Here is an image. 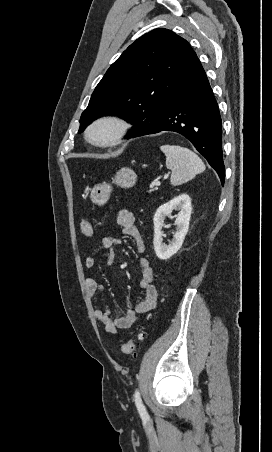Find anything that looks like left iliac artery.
<instances>
[{"mask_svg":"<svg viewBox=\"0 0 272 452\" xmlns=\"http://www.w3.org/2000/svg\"><path fill=\"white\" fill-rule=\"evenodd\" d=\"M134 400H135L136 407H137V409L139 411V414L142 417L147 416V411H146V408H145V406H144V404H143V402L141 400L140 392H139L138 389L135 391Z\"/></svg>","mask_w":272,"mask_h":452,"instance_id":"1","label":"left iliac artery"}]
</instances>
